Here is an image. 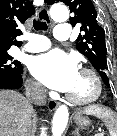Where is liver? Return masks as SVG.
I'll use <instances>...</instances> for the list:
<instances>
[{
	"label": "liver",
	"instance_id": "6515ba94",
	"mask_svg": "<svg viewBox=\"0 0 117 136\" xmlns=\"http://www.w3.org/2000/svg\"><path fill=\"white\" fill-rule=\"evenodd\" d=\"M33 107L22 94L0 90V136H26Z\"/></svg>",
	"mask_w": 117,
	"mask_h": 136
}]
</instances>
